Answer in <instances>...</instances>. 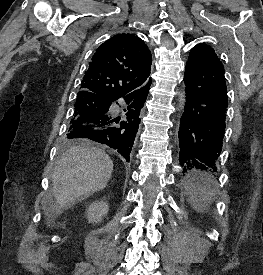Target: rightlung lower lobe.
Returning a JSON list of instances; mask_svg holds the SVG:
<instances>
[{
  "label": "right lung lower lobe",
  "instance_id": "98d812e1",
  "mask_svg": "<svg viewBox=\"0 0 263 275\" xmlns=\"http://www.w3.org/2000/svg\"><path fill=\"white\" fill-rule=\"evenodd\" d=\"M150 85L151 82L131 95L123 97L128 104L123 121L113 119L108 113L109 108L104 112L83 114L70 122L67 137L86 138L107 145L117 150L128 162L140 124V110L146 101ZM119 98L121 97L108 101L109 107Z\"/></svg>",
  "mask_w": 263,
  "mask_h": 275
}]
</instances>
